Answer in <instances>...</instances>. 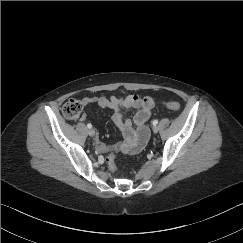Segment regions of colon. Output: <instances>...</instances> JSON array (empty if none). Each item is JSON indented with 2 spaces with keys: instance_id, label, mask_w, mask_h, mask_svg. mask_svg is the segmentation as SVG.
<instances>
[{
  "instance_id": "colon-1",
  "label": "colon",
  "mask_w": 243,
  "mask_h": 243,
  "mask_svg": "<svg viewBox=\"0 0 243 243\" xmlns=\"http://www.w3.org/2000/svg\"><path fill=\"white\" fill-rule=\"evenodd\" d=\"M164 106L171 111H178L181 105L177 101H166ZM82 103L79 100L70 99L66 101L62 107V114L65 118L75 120L82 111ZM107 163L111 170L116 169L115 156L109 155L107 157Z\"/></svg>"
}]
</instances>
